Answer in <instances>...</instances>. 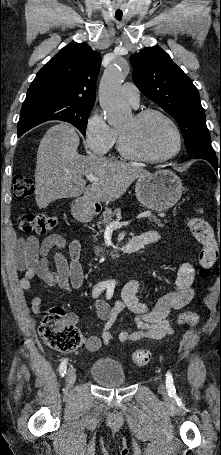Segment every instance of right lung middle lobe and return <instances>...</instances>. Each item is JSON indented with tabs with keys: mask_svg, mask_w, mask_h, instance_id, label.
I'll list each match as a JSON object with an SVG mask.
<instances>
[{
	"mask_svg": "<svg viewBox=\"0 0 221 455\" xmlns=\"http://www.w3.org/2000/svg\"><path fill=\"white\" fill-rule=\"evenodd\" d=\"M93 105L73 103H33L23 105L18 122V136L48 120H61L74 125L83 135Z\"/></svg>",
	"mask_w": 221,
	"mask_h": 455,
	"instance_id": "1",
	"label": "right lung middle lobe"
}]
</instances>
